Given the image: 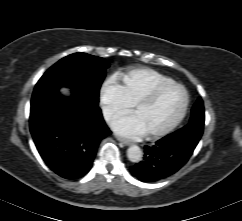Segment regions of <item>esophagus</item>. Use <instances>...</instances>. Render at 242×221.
<instances>
[{"label":"esophagus","instance_id":"esophagus-1","mask_svg":"<svg viewBox=\"0 0 242 221\" xmlns=\"http://www.w3.org/2000/svg\"><path fill=\"white\" fill-rule=\"evenodd\" d=\"M117 140H118L119 142L123 143L124 145H127V146L132 145V142H131V141L126 140V139H124V138L117 137Z\"/></svg>","mask_w":242,"mask_h":221}]
</instances>
